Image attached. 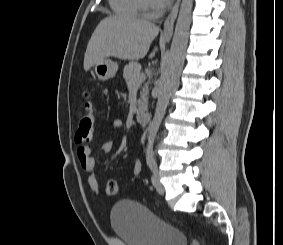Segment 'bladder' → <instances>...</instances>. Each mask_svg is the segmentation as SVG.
<instances>
[{
    "label": "bladder",
    "instance_id": "31cf9c89",
    "mask_svg": "<svg viewBox=\"0 0 283 245\" xmlns=\"http://www.w3.org/2000/svg\"><path fill=\"white\" fill-rule=\"evenodd\" d=\"M113 229L126 245H188L187 236L145 205L121 200L111 209Z\"/></svg>",
    "mask_w": 283,
    "mask_h": 245
}]
</instances>
